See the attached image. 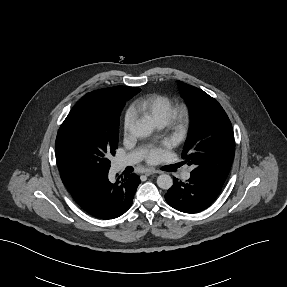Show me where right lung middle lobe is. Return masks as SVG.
Masks as SVG:
<instances>
[{"mask_svg":"<svg viewBox=\"0 0 287 287\" xmlns=\"http://www.w3.org/2000/svg\"><path fill=\"white\" fill-rule=\"evenodd\" d=\"M125 102L113 107L104 93H87L69 112L56 138L58 168L74 177L108 174L118 147L119 117Z\"/></svg>","mask_w":287,"mask_h":287,"instance_id":"right-lung-middle-lobe-1","label":"right lung middle lobe"}]
</instances>
